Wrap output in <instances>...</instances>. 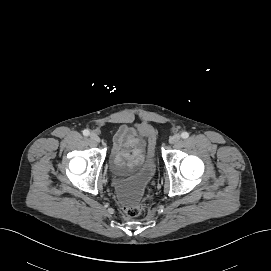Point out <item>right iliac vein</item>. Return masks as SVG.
Segmentation results:
<instances>
[{"instance_id": "1", "label": "right iliac vein", "mask_w": 271, "mask_h": 271, "mask_svg": "<svg viewBox=\"0 0 271 271\" xmlns=\"http://www.w3.org/2000/svg\"><path fill=\"white\" fill-rule=\"evenodd\" d=\"M90 139L95 142V143H99L100 142V137L98 136L97 133L95 132H91L90 134Z\"/></svg>"}]
</instances>
